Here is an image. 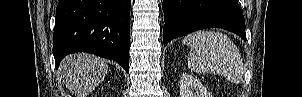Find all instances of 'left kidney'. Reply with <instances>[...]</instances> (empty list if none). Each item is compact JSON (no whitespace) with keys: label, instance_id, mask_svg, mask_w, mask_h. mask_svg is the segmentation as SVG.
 Instances as JSON below:
<instances>
[{"label":"left kidney","instance_id":"1","mask_svg":"<svg viewBox=\"0 0 302 97\" xmlns=\"http://www.w3.org/2000/svg\"><path fill=\"white\" fill-rule=\"evenodd\" d=\"M180 97H212L204 85L190 74H183L179 82Z\"/></svg>","mask_w":302,"mask_h":97}]
</instances>
